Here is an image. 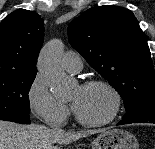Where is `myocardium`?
I'll use <instances>...</instances> for the list:
<instances>
[{"instance_id": "obj_1", "label": "myocardium", "mask_w": 155, "mask_h": 149, "mask_svg": "<svg viewBox=\"0 0 155 149\" xmlns=\"http://www.w3.org/2000/svg\"><path fill=\"white\" fill-rule=\"evenodd\" d=\"M81 87L82 88L100 87L106 90L112 98V110L110 115L104 120L88 121L82 118L74 109V115L78 123L87 127H101L111 123L116 119L121 109L122 98L119 91L111 83L101 79H93L86 81L84 84H82Z\"/></svg>"}]
</instances>
